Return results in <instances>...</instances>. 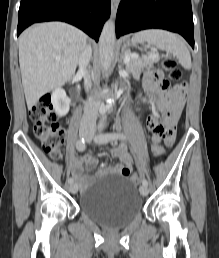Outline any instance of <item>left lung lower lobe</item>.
<instances>
[{
    "instance_id": "1",
    "label": "left lung lower lobe",
    "mask_w": 219,
    "mask_h": 258,
    "mask_svg": "<svg viewBox=\"0 0 219 258\" xmlns=\"http://www.w3.org/2000/svg\"><path fill=\"white\" fill-rule=\"evenodd\" d=\"M149 28L177 32L194 48L191 0H126L119 4L117 37Z\"/></svg>"
}]
</instances>
